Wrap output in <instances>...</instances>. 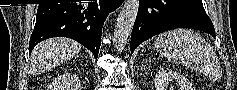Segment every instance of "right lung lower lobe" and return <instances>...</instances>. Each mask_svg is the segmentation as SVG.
Returning a JSON list of instances; mask_svg holds the SVG:
<instances>
[{"label":"right lung lower lobe","mask_w":237,"mask_h":90,"mask_svg":"<svg viewBox=\"0 0 237 90\" xmlns=\"http://www.w3.org/2000/svg\"><path fill=\"white\" fill-rule=\"evenodd\" d=\"M122 0L40 4L32 32L29 52L41 41L51 37L74 39L92 51L97 58L102 26L107 15L118 8Z\"/></svg>","instance_id":"98d812e1"}]
</instances>
